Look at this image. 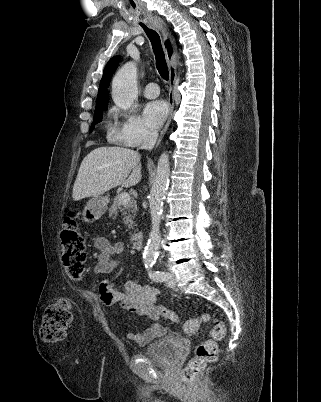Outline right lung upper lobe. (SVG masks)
<instances>
[{
    "mask_svg": "<svg viewBox=\"0 0 321 402\" xmlns=\"http://www.w3.org/2000/svg\"><path fill=\"white\" fill-rule=\"evenodd\" d=\"M119 63V57H112L104 68L103 77L100 81L99 93L96 100V108L108 105V91L110 79Z\"/></svg>",
    "mask_w": 321,
    "mask_h": 402,
    "instance_id": "right-lung-upper-lobe-1",
    "label": "right lung upper lobe"
}]
</instances>
